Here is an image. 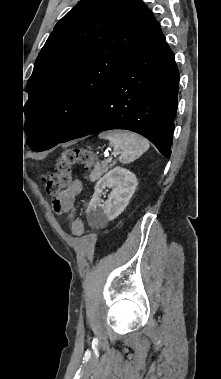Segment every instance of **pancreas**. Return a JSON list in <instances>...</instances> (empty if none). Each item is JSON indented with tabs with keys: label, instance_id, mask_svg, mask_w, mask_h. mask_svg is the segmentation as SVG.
<instances>
[{
	"label": "pancreas",
	"instance_id": "1",
	"mask_svg": "<svg viewBox=\"0 0 221 379\" xmlns=\"http://www.w3.org/2000/svg\"><path fill=\"white\" fill-rule=\"evenodd\" d=\"M112 165L107 166L106 163H103L100 166H96L94 170L90 173L89 179L91 182H95L98 180L104 173L108 171L109 168H111Z\"/></svg>",
	"mask_w": 221,
	"mask_h": 379
}]
</instances>
